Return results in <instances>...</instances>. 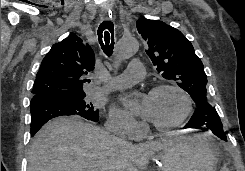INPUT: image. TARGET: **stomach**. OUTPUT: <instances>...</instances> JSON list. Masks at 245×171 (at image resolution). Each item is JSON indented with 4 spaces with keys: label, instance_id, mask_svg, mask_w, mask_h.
<instances>
[{
    "label": "stomach",
    "instance_id": "stomach-1",
    "mask_svg": "<svg viewBox=\"0 0 245 171\" xmlns=\"http://www.w3.org/2000/svg\"><path fill=\"white\" fill-rule=\"evenodd\" d=\"M218 145L210 133L178 138L156 156L159 171H216Z\"/></svg>",
    "mask_w": 245,
    "mask_h": 171
}]
</instances>
